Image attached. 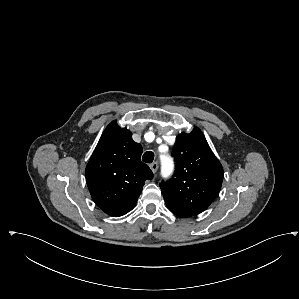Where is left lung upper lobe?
<instances>
[{
    "instance_id": "left-lung-upper-lobe-1",
    "label": "left lung upper lobe",
    "mask_w": 299,
    "mask_h": 299,
    "mask_svg": "<svg viewBox=\"0 0 299 299\" xmlns=\"http://www.w3.org/2000/svg\"><path fill=\"white\" fill-rule=\"evenodd\" d=\"M172 156L176 162L174 176L160 183L165 202L192 216L203 212L220 191L221 163L197 127L177 136Z\"/></svg>"
}]
</instances>
